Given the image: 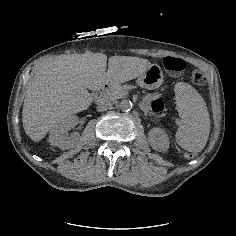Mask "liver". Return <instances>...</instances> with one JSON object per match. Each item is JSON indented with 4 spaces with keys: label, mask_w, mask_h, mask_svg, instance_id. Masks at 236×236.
<instances>
[{
    "label": "liver",
    "mask_w": 236,
    "mask_h": 236,
    "mask_svg": "<svg viewBox=\"0 0 236 236\" xmlns=\"http://www.w3.org/2000/svg\"><path fill=\"white\" fill-rule=\"evenodd\" d=\"M148 63L132 56L114 55L107 60L106 54L91 51L44 57L23 102L25 134L33 142L41 141L53 128L91 106L93 97L88 90L131 81L146 71Z\"/></svg>",
    "instance_id": "liver-1"
}]
</instances>
